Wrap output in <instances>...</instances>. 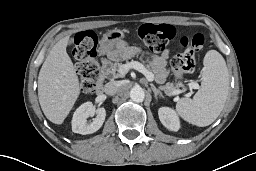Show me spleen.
<instances>
[{"mask_svg": "<svg viewBox=\"0 0 256 171\" xmlns=\"http://www.w3.org/2000/svg\"><path fill=\"white\" fill-rule=\"evenodd\" d=\"M201 88L193 99L181 98L176 104L178 114L187 122L205 127L220 115L229 91V73L223 56L209 50L203 60Z\"/></svg>", "mask_w": 256, "mask_h": 171, "instance_id": "spleen-1", "label": "spleen"}]
</instances>
